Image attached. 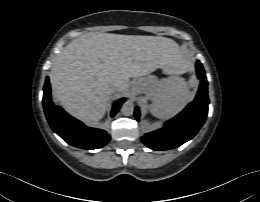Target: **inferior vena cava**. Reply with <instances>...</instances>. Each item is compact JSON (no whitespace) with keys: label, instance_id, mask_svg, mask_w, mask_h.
I'll list each match as a JSON object with an SVG mask.
<instances>
[{"label":"inferior vena cava","instance_id":"1","mask_svg":"<svg viewBox=\"0 0 260 202\" xmlns=\"http://www.w3.org/2000/svg\"><path fill=\"white\" fill-rule=\"evenodd\" d=\"M118 90H119V86H117V85H114L111 87L112 92H117Z\"/></svg>","mask_w":260,"mask_h":202}]
</instances>
